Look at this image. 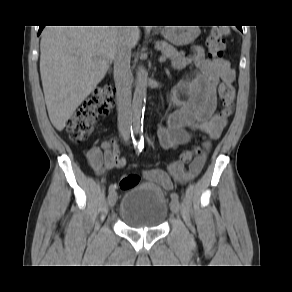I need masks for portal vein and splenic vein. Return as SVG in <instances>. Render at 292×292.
<instances>
[{
	"mask_svg": "<svg viewBox=\"0 0 292 292\" xmlns=\"http://www.w3.org/2000/svg\"><path fill=\"white\" fill-rule=\"evenodd\" d=\"M159 60H160V62H163V61L166 60V57L165 56H161Z\"/></svg>",
	"mask_w": 292,
	"mask_h": 292,
	"instance_id": "18ae733b",
	"label": "portal vein and splenic vein"
}]
</instances>
